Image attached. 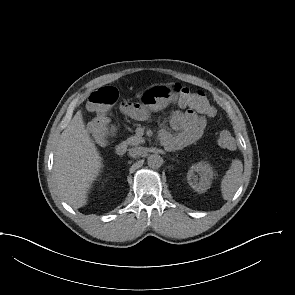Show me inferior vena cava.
<instances>
[{
	"mask_svg": "<svg viewBox=\"0 0 295 295\" xmlns=\"http://www.w3.org/2000/svg\"><path fill=\"white\" fill-rule=\"evenodd\" d=\"M143 148L142 147H134V148H131L129 149V154L130 156L132 157H139L143 154Z\"/></svg>",
	"mask_w": 295,
	"mask_h": 295,
	"instance_id": "obj_1",
	"label": "inferior vena cava"
}]
</instances>
